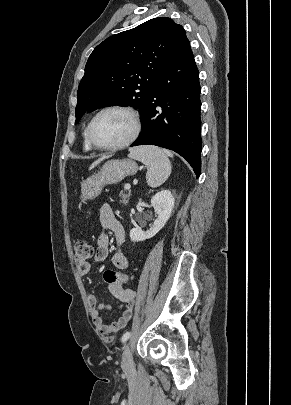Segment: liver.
I'll list each match as a JSON object with an SVG mask.
<instances>
[{"mask_svg":"<svg viewBox=\"0 0 291 405\" xmlns=\"http://www.w3.org/2000/svg\"><path fill=\"white\" fill-rule=\"evenodd\" d=\"M105 157H102L98 160H96L90 167V169H93L95 166H97Z\"/></svg>","mask_w":291,"mask_h":405,"instance_id":"obj_1","label":"liver"}]
</instances>
